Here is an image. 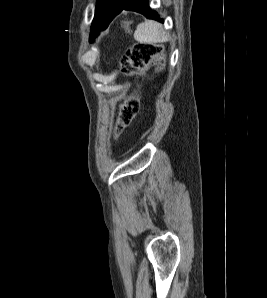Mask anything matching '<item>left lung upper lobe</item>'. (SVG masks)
<instances>
[{
    "label": "left lung upper lobe",
    "instance_id": "left-lung-upper-lobe-1",
    "mask_svg": "<svg viewBox=\"0 0 267 298\" xmlns=\"http://www.w3.org/2000/svg\"><path fill=\"white\" fill-rule=\"evenodd\" d=\"M121 1V0H98V3L96 5V10L95 14H98L100 11L105 9L106 7L116 4V2Z\"/></svg>",
    "mask_w": 267,
    "mask_h": 298
}]
</instances>
